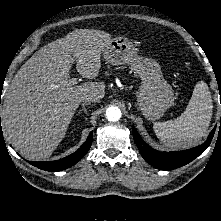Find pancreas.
<instances>
[{"label": "pancreas", "mask_w": 221, "mask_h": 221, "mask_svg": "<svg viewBox=\"0 0 221 221\" xmlns=\"http://www.w3.org/2000/svg\"><path fill=\"white\" fill-rule=\"evenodd\" d=\"M117 68H115L113 71H116ZM109 74V73H108Z\"/></svg>", "instance_id": "cf45deb5"}]
</instances>
